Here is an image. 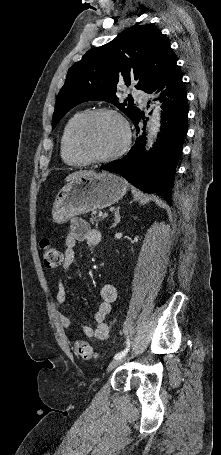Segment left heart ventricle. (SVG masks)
<instances>
[{
    "instance_id": "b2bd125f",
    "label": "left heart ventricle",
    "mask_w": 221,
    "mask_h": 455,
    "mask_svg": "<svg viewBox=\"0 0 221 455\" xmlns=\"http://www.w3.org/2000/svg\"><path fill=\"white\" fill-rule=\"evenodd\" d=\"M124 142L120 121L111 115H100L84 126L81 144L88 154L102 157L115 152Z\"/></svg>"
}]
</instances>
